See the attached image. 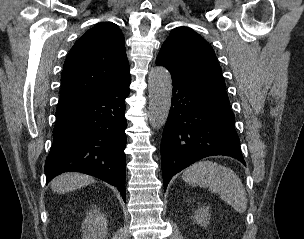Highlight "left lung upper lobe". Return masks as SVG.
<instances>
[{
    "label": "left lung upper lobe",
    "mask_w": 304,
    "mask_h": 239,
    "mask_svg": "<svg viewBox=\"0 0 304 239\" xmlns=\"http://www.w3.org/2000/svg\"><path fill=\"white\" fill-rule=\"evenodd\" d=\"M156 64L166 67L172 78L229 101L213 48L193 30L173 29L161 47Z\"/></svg>",
    "instance_id": "left-lung-upper-lobe-1"
}]
</instances>
